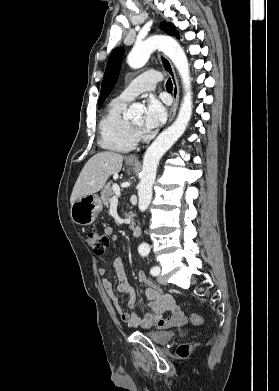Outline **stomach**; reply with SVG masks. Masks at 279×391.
I'll return each instance as SVG.
<instances>
[{
	"mask_svg": "<svg viewBox=\"0 0 279 391\" xmlns=\"http://www.w3.org/2000/svg\"><path fill=\"white\" fill-rule=\"evenodd\" d=\"M102 209L103 204L98 195H87L71 205V219L78 225H90Z\"/></svg>",
	"mask_w": 279,
	"mask_h": 391,
	"instance_id": "obj_1",
	"label": "stomach"
}]
</instances>
